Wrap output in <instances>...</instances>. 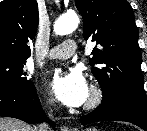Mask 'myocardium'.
<instances>
[{"mask_svg":"<svg viewBox=\"0 0 147 131\" xmlns=\"http://www.w3.org/2000/svg\"><path fill=\"white\" fill-rule=\"evenodd\" d=\"M103 90L98 84H93L90 89L89 97L85 103L84 109L91 111L99 107L103 101Z\"/></svg>","mask_w":147,"mask_h":131,"instance_id":"myocardium-1","label":"myocardium"}]
</instances>
